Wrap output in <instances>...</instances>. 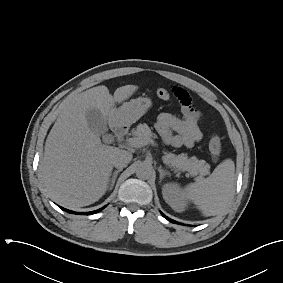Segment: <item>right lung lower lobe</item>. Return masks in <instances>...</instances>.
<instances>
[{
  "instance_id": "1",
  "label": "right lung lower lobe",
  "mask_w": 283,
  "mask_h": 283,
  "mask_svg": "<svg viewBox=\"0 0 283 283\" xmlns=\"http://www.w3.org/2000/svg\"><path fill=\"white\" fill-rule=\"evenodd\" d=\"M102 209H99V210H95V211H92V212H87V213H81V214H86V215H89V214H94V213H97V212H99V211H101ZM66 211H68V210H66ZM68 212H70V213H72V211H68Z\"/></svg>"
}]
</instances>
